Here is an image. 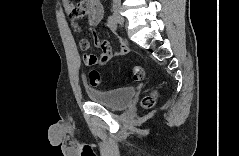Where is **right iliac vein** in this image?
<instances>
[{
    "label": "right iliac vein",
    "mask_w": 239,
    "mask_h": 156,
    "mask_svg": "<svg viewBox=\"0 0 239 156\" xmlns=\"http://www.w3.org/2000/svg\"><path fill=\"white\" fill-rule=\"evenodd\" d=\"M113 15L116 19V21L120 24V25H124V18L121 15V11L119 8H114L113 10Z\"/></svg>",
    "instance_id": "63e3f726"
}]
</instances>
